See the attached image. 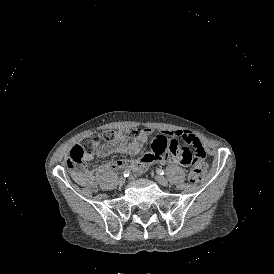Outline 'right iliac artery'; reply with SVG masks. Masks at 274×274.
I'll return each mask as SVG.
<instances>
[{"label": "right iliac artery", "instance_id": "1", "mask_svg": "<svg viewBox=\"0 0 274 274\" xmlns=\"http://www.w3.org/2000/svg\"><path fill=\"white\" fill-rule=\"evenodd\" d=\"M123 175H124V177H128L130 175V171L129 170H125L123 172Z\"/></svg>", "mask_w": 274, "mask_h": 274}]
</instances>
